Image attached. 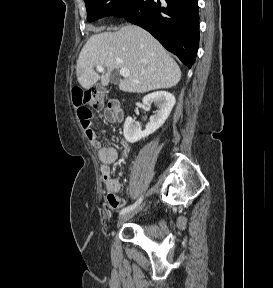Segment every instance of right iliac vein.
I'll return each instance as SVG.
<instances>
[{
	"mask_svg": "<svg viewBox=\"0 0 273 288\" xmlns=\"http://www.w3.org/2000/svg\"><path fill=\"white\" fill-rule=\"evenodd\" d=\"M143 206H144V205H141L140 207H138V208H136V209H134V210H132V211H129V212L123 214V215L119 218L117 226L122 225L123 223H125L126 221H128L129 219H131L133 216H135L137 213H139V212L142 210Z\"/></svg>",
	"mask_w": 273,
	"mask_h": 288,
	"instance_id": "1",
	"label": "right iliac vein"
}]
</instances>
